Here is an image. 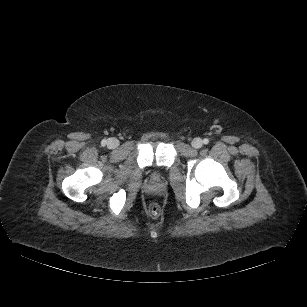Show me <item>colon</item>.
Masks as SVG:
<instances>
[{"label": "colon", "instance_id": "colon-1", "mask_svg": "<svg viewBox=\"0 0 307 307\" xmlns=\"http://www.w3.org/2000/svg\"><path fill=\"white\" fill-rule=\"evenodd\" d=\"M149 211L153 216H156L160 213V206L157 203H152L149 207Z\"/></svg>", "mask_w": 307, "mask_h": 307}]
</instances>
